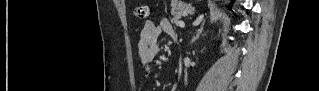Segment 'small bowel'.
<instances>
[{"label":"small bowel","instance_id":"small-bowel-1","mask_svg":"<svg viewBox=\"0 0 319 91\" xmlns=\"http://www.w3.org/2000/svg\"><path fill=\"white\" fill-rule=\"evenodd\" d=\"M162 33L172 37L175 35L174 28L168 18H161L157 22L147 21L141 30L138 42V55L144 67L146 77L150 75V66L154 63L159 53L157 40ZM178 90L179 85L175 83L172 91Z\"/></svg>","mask_w":319,"mask_h":91}]
</instances>
